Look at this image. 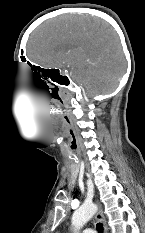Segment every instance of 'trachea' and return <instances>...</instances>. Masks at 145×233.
<instances>
[{
	"label": "trachea",
	"mask_w": 145,
	"mask_h": 233,
	"mask_svg": "<svg viewBox=\"0 0 145 233\" xmlns=\"http://www.w3.org/2000/svg\"><path fill=\"white\" fill-rule=\"evenodd\" d=\"M96 228H97L98 233H103V225H102V223H98L96 225Z\"/></svg>",
	"instance_id": "1"
}]
</instances>
